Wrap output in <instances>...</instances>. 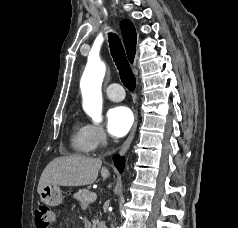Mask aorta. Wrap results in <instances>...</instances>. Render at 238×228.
I'll use <instances>...</instances> for the list:
<instances>
[{
    "instance_id": "1",
    "label": "aorta",
    "mask_w": 238,
    "mask_h": 228,
    "mask_svg": "<svg viewBox=\"0 0 238 228\" xmlns=\"http://www.w3.org/2000/svg\"><path fill=\"white\" fill-rule=\"evenodd\" d=\"M106 66L100 60H89L80 81L83 109L96 123L102 121L101 86Z\"/></svg>"
}]
</instances>
